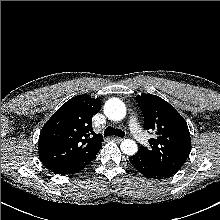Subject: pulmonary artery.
I'll use <instances>...</instances> for the list:
<instances>
[{"label": "pulmonary artery", "mask_w": 220, "mask_h": 220, "mask_svg": "<svg viewBox=\"0 0 220 220\" xmlns=\"http://www.w3.org/2000/svg\"><path fill=\"white\" fill-rule=\"evenodd\" d=\"M129 127L134 135V137L140 142V143H146V136L142 132L137 119L135 117H131L129 120Z\"/></svg>", "instance_id": "obj_1"}]
</instances>
